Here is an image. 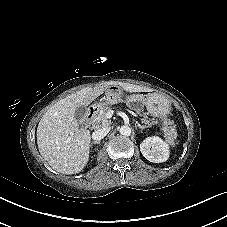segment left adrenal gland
<instances>
[{
	"label": "left adrenal gland",
	"mask_w": 227,
	"mask_h": 227,
	"mask_svg": "<svg viewBox=\"0 0 227 227\" xmlns=\"http://www.w3.org/2000/svg\"><path fill=\"white\" fill-rule=\"evenodd\" d=\"M137 127L141 130H144L145 128H148V126L145 125H140L139 123H137Z\"/></svg>",
	"instance_id": "obj_1"
}]
</instances>
